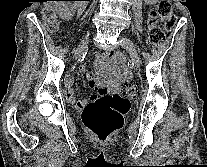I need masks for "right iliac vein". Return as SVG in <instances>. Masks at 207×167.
<instances>
[{"instance_id": "obj_1", "label": "right iliac vein", "mask_w": 207, "mask_h": 167, "mask_svg": "<svg viewBox=\"0 0 207 167\" xmlns=\"http://www.w3.org/2000/svg\"><path fill=\"white\" fill-rule=\"evenodd\" d=\"M89 43V38L88 37H86V38H84L81 42H80V44H79V46H78V48H77V50H76V52H75V57H76V59L80 56V54L83 52V50L86 48V46H87V44Z\"/></svg>"}]
</instances>
